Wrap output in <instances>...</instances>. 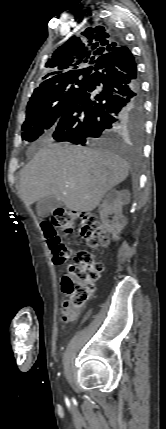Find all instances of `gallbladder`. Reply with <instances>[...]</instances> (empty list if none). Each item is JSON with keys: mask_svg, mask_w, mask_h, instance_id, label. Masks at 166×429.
I'll list each match as a JSON object with an SVG mask.
<instances>
[{"mask_svg": "<svg viewBox=\"0 0 166 429\" xmlns=\"http://www.w3.org/2000/svg\"><path fill=\"white\" fill-rule=\"evenodd\" d=\"M63 203L56 199L55 196L43 198L37 202V214L44 218L49 216L55 209L62 206Z\"/></svg>", "mask_w": 166, "mask_h": 429, "instance_id": "gallbladder-1", "label": "gallbladder"}]
</instances>
